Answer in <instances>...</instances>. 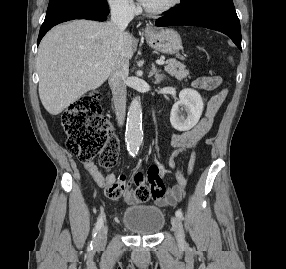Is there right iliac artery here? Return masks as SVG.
I'll return each mask as SVG.
<instances>
[{
    "label": "right iliac artery",
    "instance_id": "1",
    "mask_svg": "<svg viewBox=\"0 0 286 269\" xmlns=\"http://www.w3.org/2000/svg\"><path fill=\"white\" fill-rule=\"evenodd\" d=\"M103 225V216L102 214L99 215L98 217V220L96 222V226H95V229H94V234H93V237L95 238L97 232L100 230V228L102 227ZM89 250H92L93 249V241H91L89 247H88Z\"/></svg>",
    "mask_w": 286,
    "mask_h": 269
}]
</instances>
